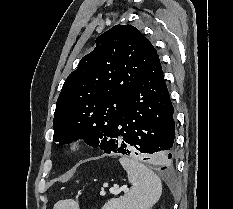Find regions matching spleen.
<instances>
[{
  "mask_svg": "<svg viewBox=\"0 0 233 209\" xmlns=\"http://www.w3.org/2000/svg\"><path fill=\"white\" fill-rule=\"evenodd\" d=\"M119 162L132 187L124 196L108 201L102 209H150L162 193L160 178L135 159L121 157ZM53 209H78V204L74 200H61Z\"/></svg>",
  "mask_w": 233,
  "mask_h": 209,
  "instance_id": "obj_1",
  "label": "spleen"
}]
</instances>
